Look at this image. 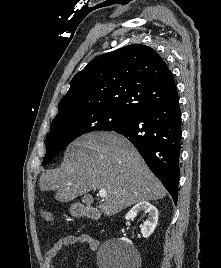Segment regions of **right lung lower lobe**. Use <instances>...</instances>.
<instances>
[{"label": "right lung lower lobe", "instance_id": "1", "mask_svg": "<svg viewBox=\"0 0 221 268\" xmlns=\"http://www.w3.org/2000/svg\"><path fill=\"white\" fill-rule=\"evenodd\" d=\"M110 131H115L132 142L176 204L181 144V111L178 98L146 109Z\"/></svg>", "mask_w": 221, "mask_h": 268}]
</instances>
